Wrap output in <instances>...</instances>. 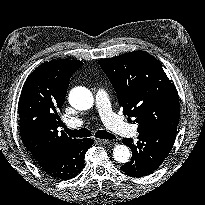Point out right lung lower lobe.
<instances>
[{"mask_svg": "<svg viewBox=\"0 0 205 205\" xmlns=\"http://www.w3.org/2000/svg\"><path fill=\"white\" fill-rule=\"evenodd\" d=\"M93 144L91 138L77 140L65 150L38 164L40 169L60 180L74 178L84 167V156L89 147Z\"/></svg>", "mask_w": 205, "mask_h": 205, "instance_id": "98d812e1", "label": "right lung lower lobe"}]
</instances>
